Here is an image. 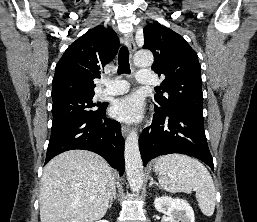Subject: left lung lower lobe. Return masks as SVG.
I'll use <instances>...</instances> for the list:
<instances>
[{
	"instance_id": "0a47b994",
	"label": "left lung lower lobe",
	"mask_w": 257,
	"mask_h": 222,
	"mask_svg": "<svg viewBox=\"0 0 257 222\" xmlns=\"http://www.w3.org/2000/svg\"><path fill=\"white\" fill-rule=\"evenodd\" d=\"M144 166L153 158L171 153L194 156L214 169L205 132L203 113L155 108L152 124L139 137Z\"/></svg>"
}]
</instances>
